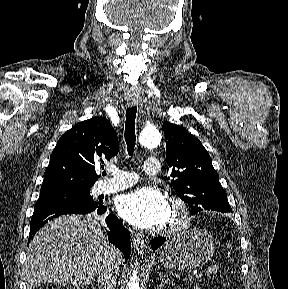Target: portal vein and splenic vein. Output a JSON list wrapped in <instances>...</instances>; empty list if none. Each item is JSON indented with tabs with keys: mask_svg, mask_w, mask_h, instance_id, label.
I'll list each match as a JSON object with an SVG mask.
<instances>
[{
	"mask_svg": "<svg viewBox=\"0 0 288 289\" xmlns=\"http://www.w3.org/2000/svg\"><path fill=\"white\" fill-rule=\"evenodd\" d=\"M197 276H198V277H201V276H203V273H202V272H198V273H197Z\"/></svg>",
	"mask_w": 288,
	"mask_h": 289,
	"instance_id": "portal-vein-and-splenic-vein-1",
	"label": "portal vein and splenic vein"
}]
</instances>
